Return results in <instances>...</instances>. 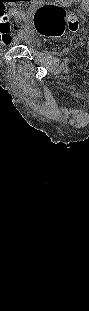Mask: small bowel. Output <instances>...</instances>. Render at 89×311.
<instances>
[{
  "instance_id": "c3829d8e",
  "label": "small bowel",
  "mask_w": 89,
  "mask_h": 311,
  "mask_svg": "<svg viewBox=\"0 0 89 311\" xmlns=\"http://www.w3.org/2000/svg\"><path fill=\"white\" fill-rule=\"evenodd\" d=\"M6 32H2L0 42L2 45H10L11 43L15 42L17 37L10 32V29L6 28Z\"/></svg>"
}]
</instances>
